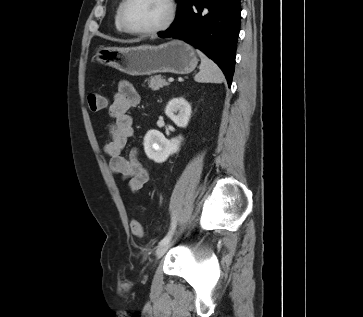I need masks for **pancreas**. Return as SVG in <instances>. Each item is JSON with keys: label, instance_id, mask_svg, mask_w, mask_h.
Wrapping results in <instances>:
<instances>
[{"label": "pancreas", "instance_id": "cf45deb5", "mask_svg": "<svg viewBox=\"0 0 363 317\" xmlns=\"http://www.w3.org/2000/svg\"><path fill=\"white\" fill-rule=\"evenodd\" d=\"M148 85L149 88H151L153 91H156L159 90L160 88H163L164 86H168L169 84L162 76L156 75L148 79Z\"/></svg>", "mask_w": 363, "mask_h": 317}]
</instances>
